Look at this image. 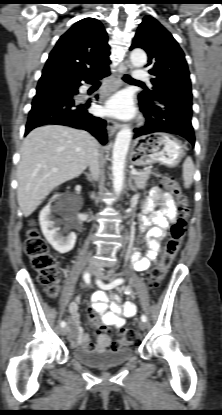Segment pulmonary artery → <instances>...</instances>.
<instances>
[{
  "label": "pulmonary artery",
  "mask_w": 222,
  "mask_h": 415,
  "mask_svg": "<svg viewBox=\"0 0 222 415\" xmlns=\"http://www.w3.org/2000/svg\"><path fill=\"white\" fill-rule=\"evenodd\" d=\"M134 80L138 82H148L149 81V74L146 70L143 69H136L133 72Z\"/></svg>",
  "instance_id": "e3ab8cb5"
}]
</instances>
